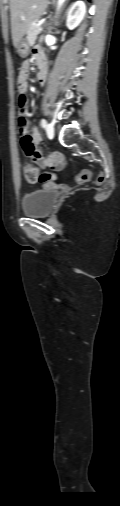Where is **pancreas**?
<instances>
[{
	"label": "pancreas",
	"instance_id": "1",
	"mask_svg": "<svg viewBox=\"0 0 120 506\" xmlns=\"http://www.w3.org/2000/svg\"><path fill=\"white\" fill-rule=\"evenodd\" d=\"M42 31L41 26L37 28L36 24H30V26L27 29V41L30 46H32L37 38V35Z\"/></svg>",
	"mask_w": 120,
	"mask_h": 506
}]
</instances>
